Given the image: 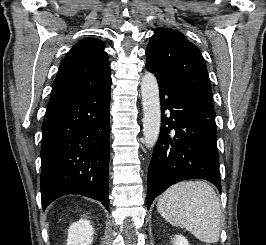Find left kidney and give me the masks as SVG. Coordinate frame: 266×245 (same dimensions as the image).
<instances>
[{"instance_id": "1", "label": "left kidney", "mask_w": 266, "mask_h": 245, "mask_svg": "<svg viewBox=\"0 0 266 245\" xmlns=\"http://www.w3.org/2000/svg\"><path fill=\"white\" fill-rule=\"evenodd\" d=\"M176 239L172 241L173 245H189L187 239L182 237V235H175Z\"/></svg>"}]
</instances>
